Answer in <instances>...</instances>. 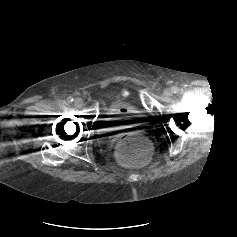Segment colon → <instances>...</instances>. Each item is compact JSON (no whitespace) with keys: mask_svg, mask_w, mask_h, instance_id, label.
Segmentation results:
<instances>
[{"mask_svg":"<svg viewBox=\"0 0 237 237\" xmlns=\"http://www.w3.org/2000/svg\"><path fill=\"white\" fill-rule=\"evenodd\" d=\"M152 150L148 140L139 133L124 136L117 146V157L126 165H142L151 158Z\"/></svg>","mask_w":237,"mask_h":237,"instance_id":"5ec220e1","label":"colon"}]
</instances>
